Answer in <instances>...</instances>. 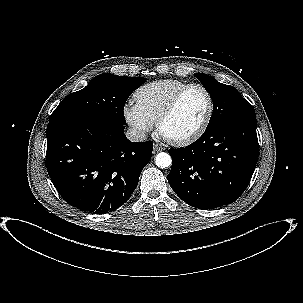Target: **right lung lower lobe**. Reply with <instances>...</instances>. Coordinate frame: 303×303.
Returning <instances> with one entry per match:
<instances>
[{
    "mask_svg": "<svg viewBox=\"0 0 303 303\" xmlns=\"http://www.w3.org/2000/svg\"><path fill=\"white\" fill-rule=\"evenodd\" d=\"M46 167L61 197L94 214L114 211L137 187L153 143L129 141L124 125L74 119L47 126Z\"/></svg>",
    "mask_w": 303,
    "mask_h": 303,
    "instance_id": "right-lung-lower-lobe-1",
    "label": "right lung lower lobe"
}]
</instances>
